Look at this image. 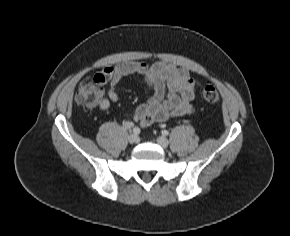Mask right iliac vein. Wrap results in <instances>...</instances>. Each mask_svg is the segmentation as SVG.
<instances>
[{
	"mask_svg": "<svg viewBox=\"0 0 290 236\" xmlns=\"http://www.w3.org/2000/svg\"><path fill=\"white\" fill-rule=\"evenodd\" d=\"M128 141L131 144H135V143H137L139 141V137L136 134H130L129 137H128Z\"/></svg>",
	"mask_w": 290,
	"mask_h": 236,
	"instance_id": "63e3f726",
	"label": "right iliac vein"
}]
</instances>
